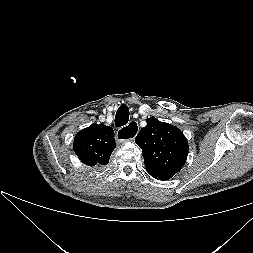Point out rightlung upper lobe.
<instances>
[{
	"label": "right lung upper lobe",
	"instance_id": "cb5924a9",
	"mask_svg": "<svg viewBox=\"0 0 253 253\" xmlns=\"http://www.w3.org/2000/svg\"><path fill=\"white\" fill-rule=\"evenodd\" d=\"M115 147L114 130L103 124H92L81 130L73 145L74 152L84 164L98 167L108 164Z\"/></svg>",
	"mask_w": 253,
	"mask_h": 253
}]
</instances>
